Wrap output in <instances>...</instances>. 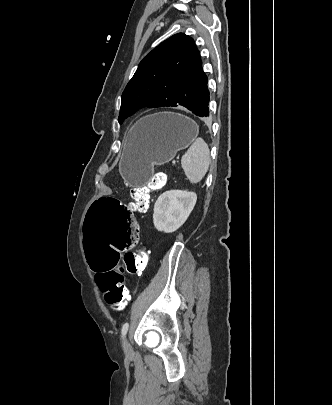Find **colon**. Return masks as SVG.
Masks as SVG:
<instances>
[{"label":"colon","mask_w":332,"mask_h":405,"mask_svg":"<svg viewBox=\"0 0 332 405\" xmlns=\"http://www.w3.org/2000/svg\"><path fill=\"white\" fill-rule=\"evenodd\" d=\"M166 181V175L156 174L148 184L132 188L134 209L147 210L150 190L163 187ZM91 210L84 227L87 268L97 273V283L108 305L121 311L128 298L125 274H141L147 267L144 250L129 252L139 243L141 227H137L134 211L120 197H98L91 203Z\"/></svg>","instance_id":"colon-1"}]
</instances>
